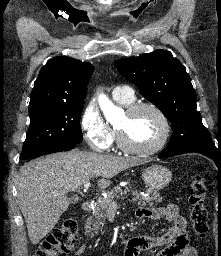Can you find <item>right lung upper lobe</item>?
I'll use <instances>...</instances> for the list:
<instances>
[{"instance_id": "1", "label": "right lung upper lobe", "mask_w": 221, "mask_h": 256, "mask_svg": "<svg viewBox=\"0 0 221 256\" xmlns=\"http://www.w3.org/2000/svg\"><path fill=\"white\" fill-rule=\"evenodd\" d=\"M95 67L70 57H55L41 68L30 96L29 110L84 102Z\"/></svg>"}]
</instances>
